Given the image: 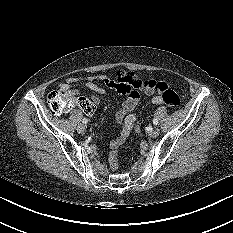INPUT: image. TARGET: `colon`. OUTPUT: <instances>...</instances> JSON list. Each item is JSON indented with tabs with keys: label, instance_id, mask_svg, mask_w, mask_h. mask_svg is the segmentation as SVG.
Listing matches in <instances>:
<instances>
[{
	"label": "colon",
	"instance_id": "5ec220e1",
	"mask_svg": "<svg viewBox=\"0 0 233 233\" xmlns=\"http://www.w3.org/2000/svg\"><path fill=\"white\" fill-rule=\"evenodd\" d=\"M117 79L124 88H138L143 85L142 82L134 73L131 72H119ZM151 86L159 93V102L171 107H178L181 103L180 97L163 82H153ZM48 104L51 111L54 114H61L69 110L76 101L73 97L67 95L62 90H54L48 95ZM89 107V106H88ZM133 119H129V123H132ZM110 164L113 170L117 169V153L115 151L110 154Z\"/></svg>",
	"mask_w": 233,
	"mask_h": 233
}]
</instances>
